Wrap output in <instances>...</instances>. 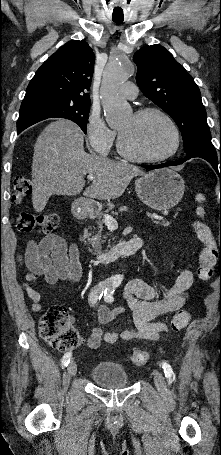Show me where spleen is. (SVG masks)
<instances>
[{"mask_svg": "<svg viewBox=\"0 0 221 455\" xmlns=\"http://www.w3.org/2000/svg\"><path fill=\"white\" fill-rule=\"evenodd\" d=\"M195 200H196L197 202H203V201H205V197H204V195H202L201 193H199V194L196 195ZM197 214H198L199 216H201V217L204 216V214H205L204 209H203L202 207H198V208H197Z\"/></svg>", "mask_w": 221, "mask_h": 455, "instance_id": "1", "label": "spleen"}]
</instances>
